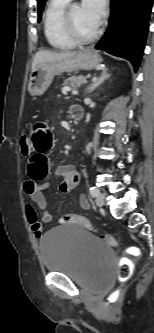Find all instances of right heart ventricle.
Masks as SVG:
<instances>
[{"mask_svg": "<svg viewBox=\"0 0 154 333\" xmlns=\"http://www.w3.org/2000/svg\"><path fill=\"white\" fill-rule=\"evenodd\" d=\"M70 0H49L43 14L44 35L48 44L57 50H70L76 47L65 33L62 17Z\"/></svg>", "mask_w": 154, "mask_h": 333, "instance_id": "right-heart-ventricle-1", "label": "right heart ventricle"}]
</instances>
